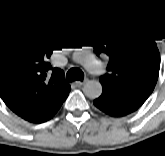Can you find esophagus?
<instances>
[{
    "instance_id": "obj_1",
    "label": "esophagus",
    "mask_w": 165,
    "mask_h": 156,
    "mask_svg": "<svg viewBox=\"0 0 165 156\" xmlns=\"http://www.w3.org/2000/svg\"><path fill=\"white\" fill-rule=\"evenodd\" d=\"M87 80L85 79L84 81H75L74 84L77 86V87H80L82 85H84V83L86 82Z\"/></svg>"
}]
</instances>
